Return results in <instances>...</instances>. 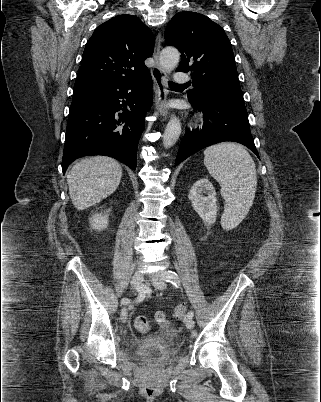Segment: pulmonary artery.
I'll list each match as a JSON object with an SVG mask.
<instances>
[{
    "label": "pulmonary artery",
    "instance_id": "e3ab8cb5",
    "mask_svg": "<svg viewBox=\"0 0 321 402\" xmlns=\"http://www.w3.org/2000/svg\"><path fill=\"white\" fill-rule=\"evenodd\" d=\"M174 81L177 84H186L189 83L190 77L188 74L177 72L174 76Z\"/></svg>",
    "mask_w": 321,
    "mask_h": 402
}]
</instances>
